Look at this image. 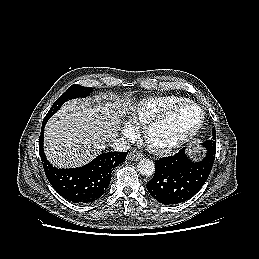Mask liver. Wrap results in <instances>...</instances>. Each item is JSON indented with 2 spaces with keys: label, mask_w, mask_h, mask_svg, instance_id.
Instances as JSON below:
<instances>
[{
  "label": "liver",
  "mask_w": 259,
  "mask_h": 259,
  "mask_svg": "<svg viewBox=\"0 0 259 259\" xmlns=\"http://www.w3.org/2000/svg\"><path fill=\"white\" fill-rule=\"evenodd\" d=\"M106 99V97H103ZM119 100H71L45 127V154L57 167L71 168L91 161L117 136L119 118L125 114Z\"/></svg>",
  "instance_id": "6515ba94"
}]
</instances>
